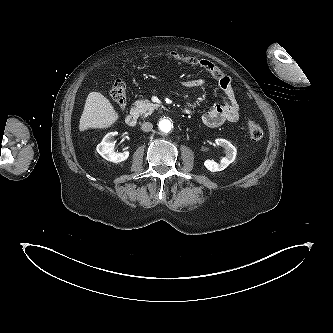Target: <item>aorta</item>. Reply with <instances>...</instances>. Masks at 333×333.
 <instances>
[{"instance_id": "762f6f07", "label": "aorta", "mask_w": 333, "mask_h": 333, "mask_svg": "<svg viewBox=\"0 0 333 333\" xmlns=\"http://www.w3.org/2000/svg\"><path fill=\"white\" fill-rule=\"evenodd\" d=\"M158 127L159 129L162 131V132H169L172 128V123L170 120L168 119H162L159 124H158Z\"/></svg>"}]
</instances>
